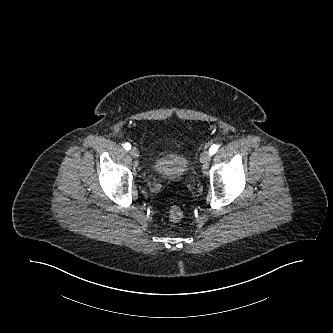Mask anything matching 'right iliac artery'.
<instances>
[{
    "instance_id": "1",
    "label": "right iliac artery",
    "mask_w": 333,
    "mask_h": 333,
    "mask_svg": "<svg viewBox=\"0 0 333 333\" xmlns=\"http://www.w3.org/2000/svg\"><path fill=\"white\" fill-rule=\"evenodd\" d=\"M123 147H124L125 150H130V149H131V145H130V143H125V144L123 145Z\"/></svg>"
}]
</instances>
